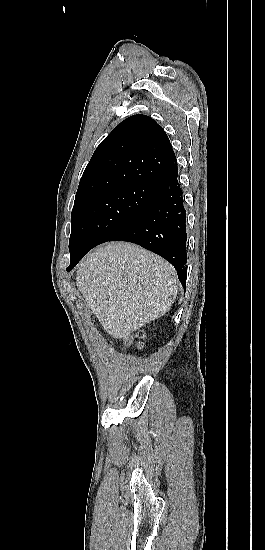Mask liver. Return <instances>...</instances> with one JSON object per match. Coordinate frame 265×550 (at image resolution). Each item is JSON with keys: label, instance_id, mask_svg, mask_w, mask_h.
I'll list each match as a JSON object with an SVG mask.
<instances>
[{"label": "liver", "instance_id": "obj_1", "mask_svg": "<svg viewBox=\"0 0 265 550\" xmlns=\"http://www.w3.org/2000/svg\"><path fill=\"white\" fill-rule=\"evenodd\" d=\"M76 285L103 328L127 338L170 310L179 281L162 257L132 243L111 242L84 257Z\"/></svg>", "mask_w": 265, "mask_h": 550}]
</instances>
